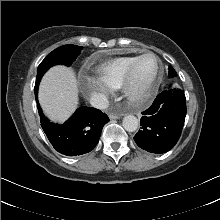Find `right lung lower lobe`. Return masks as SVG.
Listing matches in <instances>:
<instances>
[{
    "mask_svg": "<svg viewBox=\"0 0 220 220\" xmlns=\"http://www.w3.org/2000/svg\"><path fill=\"white\" fill-rule=\"evenodd\" d=\"M40 81H36L35 95ZM41 126L52 146L61 154L77 156L93 150L100 138L108 116L91 107L78 108L73 116L62 125L51 123L42 113L37 100Z\"/></svg>",
    "mask_w": 220,
    "mask_h": 220,
    "instance_id": "obj_1",
    "label": "right lung lower lobe"
}]
</instances>
